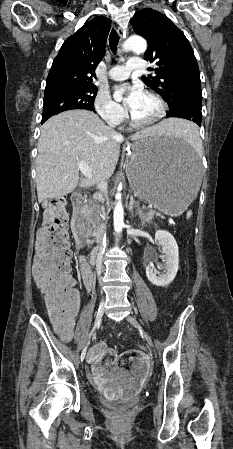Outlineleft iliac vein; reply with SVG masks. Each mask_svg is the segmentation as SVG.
Segmentation results:
<instances>
[{"mask_svg": "<svg viewBox=\"0 0 233 449\" xmlns=\"http://www.w3.org/2000/svg\"><path fill=\"white\" fill-rule=\"evenodd\" d=\"M126 320L132 324L134 327H136L137 329H139L143 335V337L145 338L149 348H153V341L150 337V335L140 326V324L138 323L137 319L134 316L128 315L126 317Z\"/></svg>", "mask_w": 233, "mask_h": 449, "instance_id": "obj_1", "label": "left iliac vein"}]
</instances>
